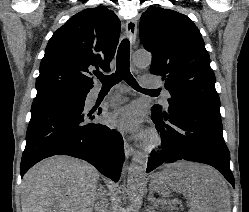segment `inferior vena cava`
Instances as JSON below:
<instances>
[{
  "label": "inferior vena cava",
  "mask_w": 249,
  "mask_h": 212,
  "mask_svg": "<svg viewBox=\"0 0 249 212\" xmlns=\"http://www.w3.org/2000/svg\"><path fill=\"white\" fill-rule=\"evenodd\" d=\"M102 196L103 194H100V202H98V204H95L96 208H95V212H109V210H106L107 208V202H106V194H104V198L102 200Z\"/></svg>",
  "instance_id": "obj_1"
}]
</instances>
